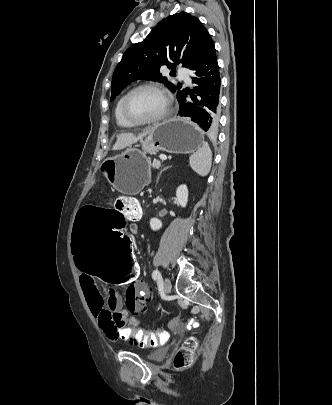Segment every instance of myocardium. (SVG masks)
<instances>
[{
  "label": "myocardium",
  "mask_w": 332,
  "mask_h": 405,
  "mask_svg": "<svg viewBox=\"0 0 332 405\" xmlns=\"http://www.w3.org/2000/svg\"><path fill=\"white\" fill-rule=\"evenodd\" d=\"M141 89H152L155 90L157 92H159L162 97L165 100V109L164 111L151 119L148 120H135L133 119L127 112L126 109V104L128 99L130 98V96L132 94H134L136 91L141 90ZM172 111V102H171V98L168 95V93L166 92V90L159 84L157 83H151V82H146V83H142L139 84L135 87H133L132 89H130L123 97L120 103V113L122 115V117L130 124H132L133 126H142V125H150V124H155L158 123L164 119H166L170 113Z\"/></svg>",
  "instance_id": "myocardium-1"
}]
</instances>
